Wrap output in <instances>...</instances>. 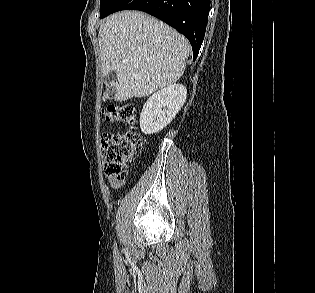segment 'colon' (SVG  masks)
<instances>
[{"mask_svg":"<svg viewBox=\"0 0 315 293\" xmlns=\"http://www.w3.org/2000/svg\"><path fill=\"white\" fill-rule=\"evenodd\" d=\"M108 122H122L133 125L136 110L132 105L108 106L103 110ZM142 144V136L136 129L124 133L104 134L101 138V152L106 176L113 182L125 177L127 163Z\"/></svg>","mask_w":315,"mask_h":293,"instance_id":"colon-1","label":"colon"}]
</instances>
